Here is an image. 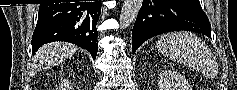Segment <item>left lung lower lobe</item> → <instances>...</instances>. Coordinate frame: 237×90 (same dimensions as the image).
I'll list each match as a JSON object with an SVG mask.
<instances>
[{"label":"left lung lower lobe","instance_id":"1","mask_svg":"<svg viewBox=\"0 0 237 90\" xmlns=\"http://www.w3.org/2000/svg\"><path fill=\"white\" fill-rule=\"evenodd\" d=\"M188 30L211 38V25L199 0H144L132 31V51L156 35Z\"/></svg>","mask_w":237,"mask_h":90}]
</instances>
